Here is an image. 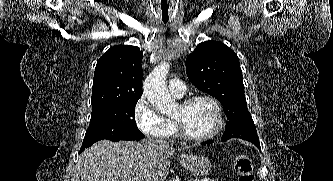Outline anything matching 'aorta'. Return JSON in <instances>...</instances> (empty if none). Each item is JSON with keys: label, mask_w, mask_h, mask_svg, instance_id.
I'll list each match as a JSON object with an SVG mask.
<instances>
[{"label": "aorta", "mask_w": 333, "mask_h": 181, "mask_svg": "<svg viewBox=\"0 0 333 181\" xmlns=\"http://www.w3.org/2000/svg\"><path fill=\"white\" fill-rule=\"evenodd\" d=\"M169 68L170 65L167 62L159 64L151 71L143 84L145 96L152 106L163 114L170 113L177 105L166 85Z\"/></svg>", "instance_id": "1"}]
</instances>
